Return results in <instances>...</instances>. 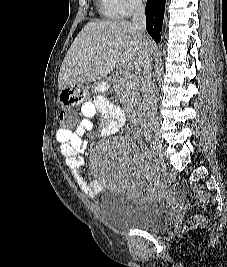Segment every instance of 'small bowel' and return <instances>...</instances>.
I'll list each match as a JSON object with an SVG mask.
<instances>
[{
    "instance_id": "1",
    "label": "small bowel",
    "mask_w": 227,
    "mask_h": 267,
    "mask_svg": "<svg viewBox=\"0 0 227 267\" xmlns=\"http://www.w3.org/2000/svg\"><path fill=\"white\" fill-rule=\"evenodd\" d=\"M125 124V114L121 107L105 97H96L84 103L78 113V121L71 130L56 132L60 150L67 167L80 190L88 197L94 198L100 191V183L91 179L82 169V154L87 149L86 133L95 127L102 136H111L119 132ZM139 195L150 197L155 189L147 183L137 185Z\"/></svg>"
}]
</instances>
